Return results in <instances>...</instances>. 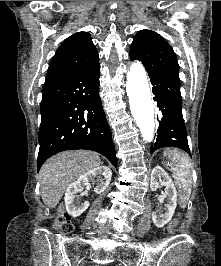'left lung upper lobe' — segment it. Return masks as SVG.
I'll list each match as a JSON object with an SVG mask.
<instances>
[{
	"instance_id": "5c2ea615",
	"label": "left lung upper lobe",
	"mask_w": 221,
	"mask_h": 266,
	"mask_svg": "<svg viewBox=\"0 0 221 266\" xmlns=\"http://www.w3.org/2000/svg\"><path fill=\"white\" fill-rule=\"evenodd\" d=\"M130 58L141 61L148 75L179 80V65L171 46L158 33L140 30L131 44ZM180 81V80H179Z\"/></svg>"
}]
</instances>
